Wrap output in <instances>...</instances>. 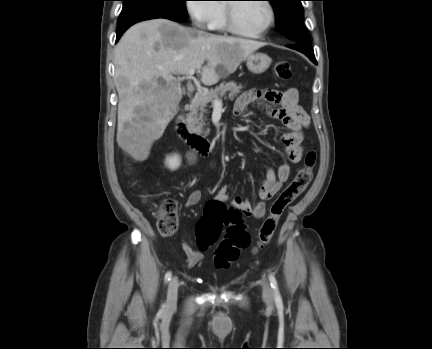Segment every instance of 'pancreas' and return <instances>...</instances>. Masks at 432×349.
Masks as SVG:
<instances>
[{"label":"pancreas","mask_w":432,"mask_h":349,"mask_svg":"<svg viewBox=\"0 0 432 349\" xmlns=\"http://www.w3.org/2000/svg\"><path fill=\"white\" fill-rule=\"evenodd\" d=\"M242 89L241 85H237L235 82H222L215 89H211L207 93H198L193 100V114H194V124L196 125V130L205 135L209 134L210 129L203 130L205 125V113H208L206 109L208 103H214L215 99L222 98L226 99V93H228V98L233 99L236 97Z\"/></svg>","instance_id":"cf45deb5"}]
</instances>
